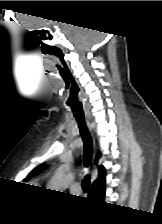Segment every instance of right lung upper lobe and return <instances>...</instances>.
Listing matches in <instances>:
<instances>
[{
	"mask_svg": "<svg viewBox=\"0 0 162 224\" xmlns=\"http://www.w3.org/2000/svg\"><path fill=\"white\" fill-rule=\"evenodd\" d=\"M100 158V153L97 154L95 161L98 162V159ZM44 164H41L39 166H37L26 178V180H29L30 178H32L33 176L39 174L40 172H42L44 170L43 167ZM99 170V174H98V178L94 181V183L92 184L91 188H90V196L95 197L96 195H98L100 192L104 191V184H105V170L103 166H100L98 168Z\"/></svg>",
	"mask_w": 162,
	"mask_h": 224,
	"instance_id": "obj_1",
	"label": "right lung upper lobe"
}]
</instances>
